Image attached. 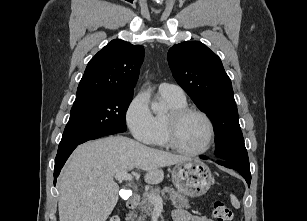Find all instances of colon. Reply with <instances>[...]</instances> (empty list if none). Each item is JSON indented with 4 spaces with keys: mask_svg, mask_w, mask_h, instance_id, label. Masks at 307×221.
<instances>
[{
    "mask_svg": "<svg viewBox=\"0 0 307 221\" xmlns=\"http://www.w3.org/2000/svg\"><path fill=\"white\" fill-rule=\"evenodd\" d=\"M214 217L218 221H234L231 208L223 201L214 202ZM109 221H120L117 217H112Z\"/></svg>",
    "mask_w": 307,
    "mask_h": 221,
    "instance_id": "1",
    "label": "colon"
}]
</instances>
